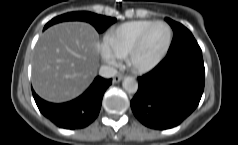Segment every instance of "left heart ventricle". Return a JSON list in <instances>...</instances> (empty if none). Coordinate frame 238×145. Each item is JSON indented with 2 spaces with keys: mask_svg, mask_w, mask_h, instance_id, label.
Returning <instances> with one entry per match:
<instances>
[{
  "mask_svg": "<svg viewBox=\"0 0 238 145\" xmlns=\"http://www.w3.org/2000/svg\"><path fill=\"white\" fill-rule=\"evenodd\" d=\"M168 39V30L163 25L154 26L138 54L135 56V62L145 64L152 61L163 49Z\"/></svg>",
  "mask_w": 238,
  "mask_h": 145,
  "instance_id": "b2bd125f",
  "label": "left heart ventricle"
}]
</instances>
